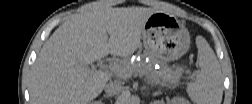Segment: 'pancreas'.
Here are the masks:
<instances>
[{"label": "pancreas", "mask_w": 252, "mask_h": 104, "mask_svg": "<svg viewBox=\"0 0 252 104\" xmlns=\"http://www.w3.org/2000/svg\"><path fill=\"white\" fill-rule=\"evenodd\" d=\"M154 65L155 61L150 60L147 63L145 59L142 58L140 62L134 65H127L124 63L121 67L132 71L135 75H145L151 82L166 87H171L177 84L182 77V73L178 69L172 70L167 65L162 64L159 71H157L154 69Z\"/></svg>", "instance_id": "cf45deb5"}]
</instances>
